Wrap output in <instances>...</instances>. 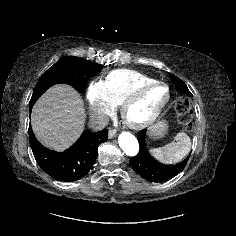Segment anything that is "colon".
Masks as SVG:
<instances>
[{
	"instance_id": "obj_1",
	"label": "colon",
	"mask_w": 236,
	"mask_h": 236,
	"mask_svg": "<svg viewBox=\"0 0 236 236\" xmlns=\"http://www.w3.org/2000/svg\"><path fill=\"white\" fill-rule=\"evenodd\" d=\"M178 120L186 129L192 126V111L187 100L179 99L175 104Z\"/></svg>"
}]
</instances>
